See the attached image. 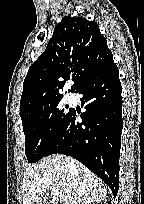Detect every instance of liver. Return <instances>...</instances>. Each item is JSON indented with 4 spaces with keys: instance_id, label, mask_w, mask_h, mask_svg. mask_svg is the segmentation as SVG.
Wrapping results in <instances>:
<instances>
[{
    "instance_id": "6515ba94",
    "label": "liver",
    "mask_w": 144,
    "mask_h": 204,
    "mask_svg": "<svg viewBox=\"0 0 144 204\" xmlns=\"http://www.w3.org/2000/svg\"><path fill=\"white\" fill-rule=\"evenodd\" d=\"M51 188L61 191L59 204L100 203L107 195L105 184L99 177L65 155L46 157L26 168L22 186L23 204H41Z\"/></svg>"
}]
</instances>
